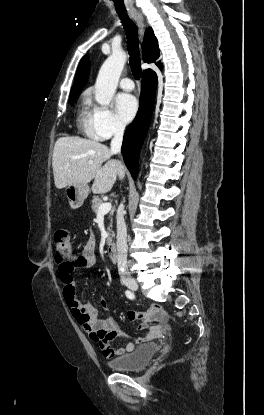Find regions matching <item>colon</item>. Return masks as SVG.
Returning <instances> with one entry per match:
<instances>
[{
  "label": "colon",
  "mask_w": 264,
  "mask_h": 415,
  "mask_svg": "<svg viewBox=\"0 0 264 415\" xmlns=\"http://www.w3.org/2000/svg\"><path fill=\"white\" fill-rule=\"evenodd\" d=\"M56 246L55 259L62 268H68V264L76 260L80 255L74 251L70 232L66 229H58L54 234ZM74 289L66 290V297L71 301L74 297Z\"/></svg>",
  "instance_id": "1"
}]
</instances>
